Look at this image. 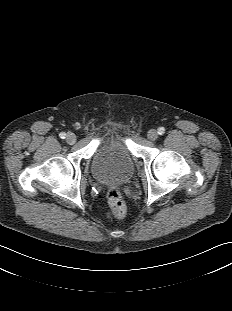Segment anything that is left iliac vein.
<instances>
[{
    "instance_id": "1",
    "label": "left iliac vein",
    "mask_w": 232,
    "mask_h": 311,
    "mask_svg": "<svg viewBox=\"0 0 232 311\" xmlns=\"http://www.w3.org/2000/svg\"><path fill=\"white\" fill-rule=\"evenodd\" d=\"M147 137L150 141H155L158 138V132L155 129L149 130Z\"/></svg>"
}]
</instances>
